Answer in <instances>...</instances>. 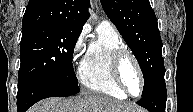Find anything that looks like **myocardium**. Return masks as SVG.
Wrapping results in <instances>:
<instances>
[{"label": "myocardium", "instance_id": "1", "mask_svg": "<svg viewBox=\"0 0 193 112\" xmlns=\"http://www.w3.org/2000/svg\"><path fill=\"white\" fill-rule=\"evenodd\" d=\"M126 59H130L139 76V80H140V91L138 94H132L128 87L126 86L123 77H122V64ZM110 69H111V75L112 78L114 80V82L116 83V85L119 87V89L121 91H123L127 96L130 97H138L140 96L143 91H144V87H145V79H144V74L141 68V65L137 59V57L135 56V54L129 50L128 48L124 47V48H120L118 50H116L111 58V63H110Z\"/></svg>", "mask_w": 193, "mask_h": 112}]
</instances>
